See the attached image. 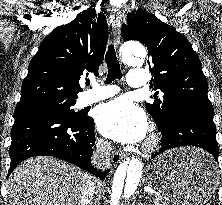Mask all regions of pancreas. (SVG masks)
Listing matches in <instances>:
<instances>
[{"label":"pancreas","mask_w":222,"mask_h":205,"mask_svg":"<svg viewBox=\"0 0 222 205\" xmlns=\"http://www.w3.org/2000/svg\"><path fill=\"white\" fill-rule=\"evenodd\" d=\"M153 202H154L155 205H170V203L161 196H156L153 199Z\"/></svg>","instance_id":"cf45deb5"}]
</instances>
